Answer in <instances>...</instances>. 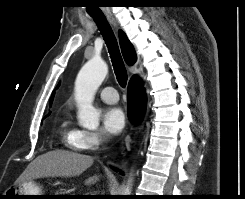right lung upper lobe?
Masks as SVG:
<instances>
[{
    "instance_id": "obj_1",
    "label": "right lung upper lobe",
    "mask_w": 245,
    "mask_h": 199,
    "mask_svg": "<svg viewBox=\"0 0 245 199\" xmlns=\"http://www.w3.org/2000/svg\"><path fill=\"white\" fill-rule=\"evenodd\" d=\"M119 40H120V46L122 50V54L124 56V59L128 65H133L136 60V53L134 51V48L130 41L128 40L127 36L123 31H119ZM139 79L135 76L131 81H138ZM54 92L52 93L51 99H50V106L53 101Z\"/></svg>"
}]
</instances>
